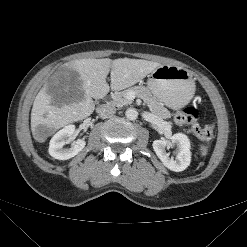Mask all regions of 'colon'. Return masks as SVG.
Wrapping results in <instances>:
<instances>
[{"label":"colon","instance_id":"1","mask_svg":"<svg viewBox=\"0 0 247 247\" xmlns=\"http://www.w3.org/2000/svg\"><path fill=\"white\" fill-rule=\"evenodd\" d=\"M199 111L196 107H188L176 113L175 121L181 125L190 126L191 131L201 140H211L214 136L212 125L201 126L197 123Z\"/></svg>","mask_w":247,"mask_h":247}]
</instances>
